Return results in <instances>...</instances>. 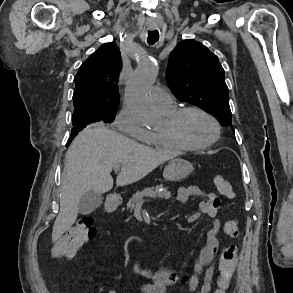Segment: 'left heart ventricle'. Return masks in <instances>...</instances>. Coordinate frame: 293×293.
Returning a JSON list of instances; mask_svg holds the SVG:
<instances>
[{"label":"left heart ventricle","mask_w":293,"mask_h":293,"mask_svg":"<svg viewBox=\"0 0 293 293\" xmlns=\"http://www.w3.org/2000/svg\"><path fill=\"white\" fill-rule=\"evenodd\" d=\"M180 130L184 138L193 144L205 143L211 140L215 133L212 123L203 115L195 112L183 117Z\"/></svg>","instance_id":"b2bd125f"}]
</instances>
